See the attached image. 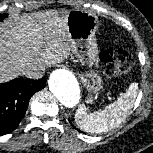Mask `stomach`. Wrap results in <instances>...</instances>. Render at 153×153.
Wrapping results in <instances>:
<instances>
[{
  "label": "stomach",
  "instance_id": "0dacf381",
  "mask_svg": "<svg viewBox=\"0 0 153 153\" xmlns=\"http://www.w3.org/2000/svg\"><path fill=\"white\" fill-rule=\"evenodd\" d=\"M98 18L90 13L72 10L66 17V28L70 48L78 61L90 68L98 67L99 50L95 33L98 30ZM84 87L88 90V99L104 90L101 76L95 70L80 75Z\"/></svg>",
  "mask_w": 153,
  "mask_h": 153
}]
</instances>
